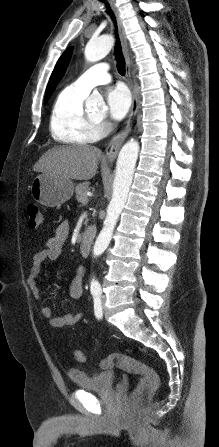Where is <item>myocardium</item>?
I'll return each mask as SVG.
<instances>
[{
	"mask_svg": "<svg viewBox=\"0 0 219 447\" xmlns=\"http://www.w3.org/2000/svg\"><path fill=\"white\" fill-rule=\"evenodd\" d=\"M88 120H89L92 124H95V125L98 123L97 120H94V119H92V118H90V117H88Z\"/></svg>",
	"mask_w": 219,
	"mask_h": 447,
	"instance_id": "myocardium-1",
	"label": "myocardium"
}]
</instances>
